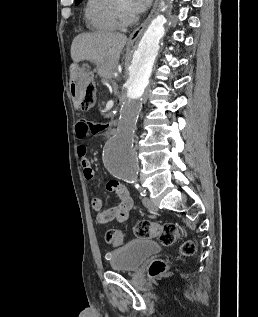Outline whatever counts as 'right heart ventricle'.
Instances as JSON below:
<instances>
[{
	"label": "right heart ventricle",
	"instance_id": "right-heart-ventricle-1",
	"mask_svg": "<svg viewBox=\"0 0 258 317\" xmlns=\"http://www.w3.org/2000/svg\"><path fill=\"white\" fill-rule=\"evenodd\" d=\"M121 0H88L84 15L89 27L97 32L109 33L118 29L114 11Z\"/></svg>",
	"mask_w": 258,
	"mask_h": 317
}]
</instances>
